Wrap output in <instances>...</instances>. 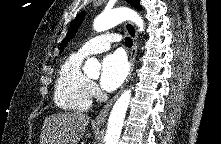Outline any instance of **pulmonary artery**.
Segmentation results:
<instances>
[{
    "instance_id": "e3ab8cb5",
    "label": "pulmonary artery",
    "mask_w": 221,
    "mask_h": 144,
    "mask_svg": "<svg viewBox=\"0 0 221 144\" xmlns=\"http://www.w3.org/2000/svg\"><path fill=\"white\" fill-rule=\"evenodd\" d=\"M120 40L119 35L114 33H105L98 35L82 45L78 54L87 57L92 54L101 53L110 49L111 44Z\"/></svg>"
}]
</instances>
